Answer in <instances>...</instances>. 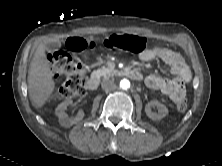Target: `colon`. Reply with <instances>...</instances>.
I'll list each match as a JSON object with an SVG mask.
<instances>
[{
  "label": "colon",
  "instance_id": "5ec220e1",
  "mask_svg": "<svg viewBox=\"0 0 222 166\" xmlns=\"http://www.w3.org/2000/svg\"><path fill=\"white\" fill-rule=\"evenodd\" d=\"M106 48L120 49L138 53L143 51L146 41L135 35H111L103 41ZM94 47L81 38H70L65 43L66 50L57 51L49 55V63L55 76L63 77L64 81L59 89V96L63 99L81 97L86 90V76L83 65L76 61L71 53L81 52L87 47ZM187 101L182 98L177 103L179 111H185Z\"/></svg>",
  "mask_w": 222,
  "mask_h": 166
}]
</instances>
